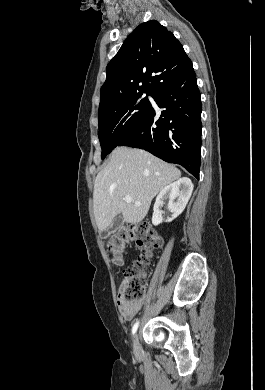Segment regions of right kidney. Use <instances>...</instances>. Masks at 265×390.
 <instances>
[{
	"instance_id": "1",
	"label": "right kidney",
	"mask_w": 265,
	"mask_h": 390,
	"mask_svg": "<svg viewBox=\"0 0 265 390\" xmlns=\"http://www.w3.org/2000/svg\"><path fill=\"white\" fill-rule=\"evenodd\" d=\"M192 191L193 183L187 177L180 178L172 184L164 187L158 194L154 204L152 224L157 226L163 222L162 215L164 214V211L162 210V206L164 204V200L166 199L169 200L168 209L172 213L171 217H168L166 222H171L177 218L185 209L191 197ZM176 198L177 202H174Z\"/></svg>"
}]
</instances>
